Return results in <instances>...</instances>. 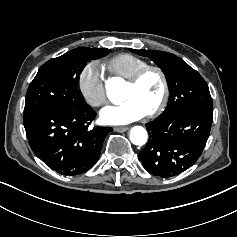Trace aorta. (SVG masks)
<instances>
[{"label": "aorta", "mask_w": 237, "mask_h": 237, "mask_svg": "<svg viewBox=\"0 0 237 237\" xmlns=\"http://www.w3.org/2000/svg\"><path fill=\"white\" fill-rule=\"evenodd\" d=\"M130 141L135 145H144L148 139V133L142 126H134L130 130Z\"/></svg>", "instance_id": "762f6f07"}]
</instances>
